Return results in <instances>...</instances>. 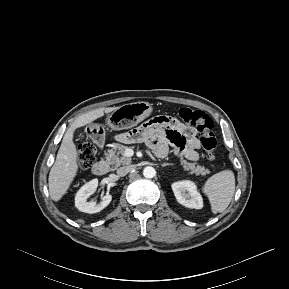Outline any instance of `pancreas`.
<instances>
[{
    "label": "pancreas",
    "instance_id": "obj_1",
    "mask_svg": "<svg viewBox=\"0 0 289 289\" xmlns=\"http://www.w3.org/2000/svg\"><path fill=\"white\" fill-rule=\"evenodd\" d=\"M128 147L119 143H114L112 148L108 150V154L106 155V160L109 164L114 165L115 167H119L121 165L130 164L131 158H128L124 155L126 149ZM122 155V156H120ZM181 165L185 171H189L191 174L196 175H206L209 173L204 167L195 166L194 163H190L187 160L181 158Z\"/></svg>",
    "mask_w": 289,
    "mask_h": 289
}]
</instances>
